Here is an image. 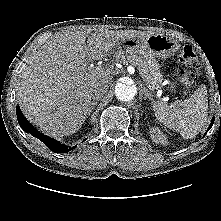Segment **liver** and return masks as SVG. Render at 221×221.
Wrapping results in <instances>:
<instances>
[{"label":"liver","mask_w":221,"mask_h":221,"mask_svg":"<svg viewBox=\"0 0 221 221\" xmlns=\"http://www.w3.org/2000/svg\"><path fill=\"white\" fill-rule=\"evenodd\" d=\"M151 34L106 30L90 36L87 31L54 36L20 73L17 97L23 114L51 136L74 134L85 122L93 90L99 85L108 89L113 74L112 67H91L88 61L111 55L126 39Z\"/></svg>","instance_id":"6515ba94"}]
</instances>
